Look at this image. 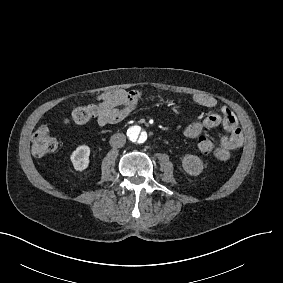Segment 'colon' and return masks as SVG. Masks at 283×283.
Instances as JSON below:
<instances>
[{
    "label": "colon",
    "mask_w": 283,
    "mask_h": 283,
    "mask_svg": "<svg viewBox=\"0 0 283 283\" xmlns=\"http://www.w3.org/2000/svg\"><path fill=\"white\" fill-rule=\"evenodd\" d=\"M97 107L94 105H83L75 107L69 116L64 119L65 124L83 125L95 119ZM197 146L202 153L212 154L215 152L213 139L207 135H201L197 139ZM57 147V142L51 134L49 127L39 128L32 141V150L39 157L52 154Z\"/></svg>",
    "instance_id": "obj_1"
}]
</instances>
